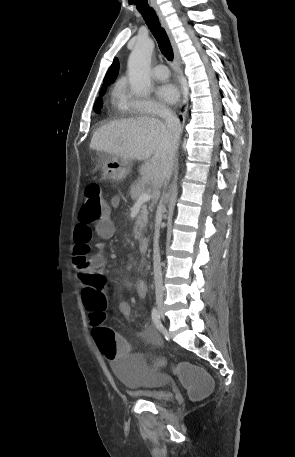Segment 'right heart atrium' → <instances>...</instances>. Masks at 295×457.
I'll list each match as a JSON object with an SVG mask.
<instances>
[{
    "label": "right heart atrium",
    "instance_id": "d8ad5b80",
    "mask_svg": "<svg viewBox=\"0 0 295 457\" xmlns=\"http://www.w3.org/2000/svg\"><path fill=\"white\" fill-rule=\"evenodd\" d=\"M129 103L132 111L137 114L160 117L169 114L168 107L150 97H129Z\"/></svg>",
    "mask_w": 295,
    "mask_h": 457
}]
</instances>
